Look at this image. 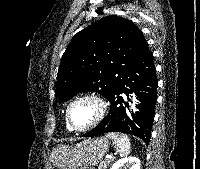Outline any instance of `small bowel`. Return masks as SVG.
I'll use <instances>...</instances> for the list:
<instances>
[{
  "instance_id": "obj_1",
  "label": "small bowel",
  "mask_w": 200,
  "mask_h": 169,
  "mask_svg": "<svg viewBox=\"0 0 200 169\" xmlns=\"http://www.w3.org/2000/svg\"><path fill=\"white\" fill-rule=\"evenodd\" d=\"M81 169H92V168H87V167H85V168H81Z\"/></svg>"
}]
</instances>
